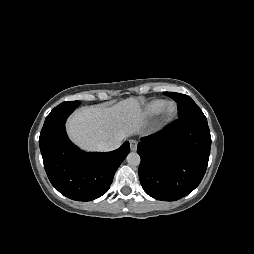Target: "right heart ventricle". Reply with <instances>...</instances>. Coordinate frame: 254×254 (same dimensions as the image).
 Wrapping results in <instances>:
<instances>
[{
	"mask_svg": "<svg viewBox=\"0 0 254 254\" xmlns=\"http://www.w3.org/2000/svg\"><path fill=\"white\" fill-rule=\"evenodd\" d=\"M166 105V102L164 100H152L149 103H147L143 109V116L146 118H153L157 116Z\"/></svg>",
	"mask_w": 254,
	"mask_h": 254,
	"instance_id": "right-heart-ventricle-1",
	"label": "right heart ventricle"
}]
</instances>
